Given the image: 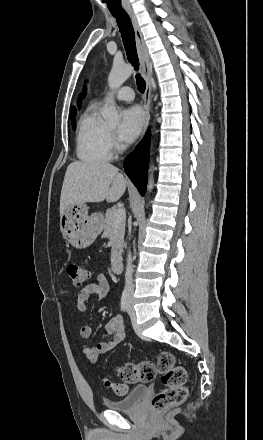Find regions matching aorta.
I'll list each match as a JSON object with an SVG mask.
<instances>
[{"instance_id":"obj_1","label":"aorta","mask_w":263,"mask_h":440,"mask_svg":"<svg viewBox=\"0 0 263 440\" xmlns=\"http://www.w3.org/2000/svg\"><path fill=\"white\" fill-rule=\"evenodd\" d=\"M134 72V68L127 64L114 63L110 74L108 76V85L111 90L118 89ZM102 117L109 124H117L120 120L119 114L115 105H110L108 108L102 111ZM155 167L152 165L149 169V179L147 190L151 192L154 187L153 171Z\"/></svg>"}]
</instances>
